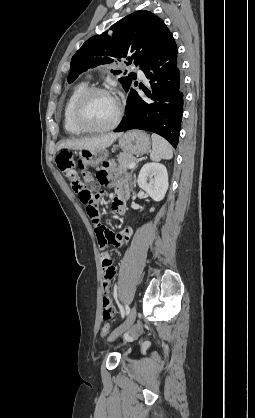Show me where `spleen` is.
I'll list each match as a JSON object with an SVG mask.
<instances>
[{
  "instance_id": "3e777b00",
  "label": "spleen",
  "mask_w": 255,
  "mask_h": 418,
  "mask_svg": "<svg viewBox=\"0 0 255 418\" xmlns=\"http://www.w3.org/2000/svg\"><path fill=\"white\" fill-rule=\"evenodd\" d=\"M152 152L150 158L152 161H160L162 159H172L173 150L171 145L163 137L152 134Z\"/></svg>"
}]
</instances>
